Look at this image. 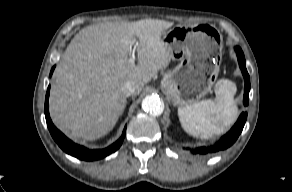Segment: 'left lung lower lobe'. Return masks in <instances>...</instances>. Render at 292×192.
Listing matches in <instances>:
<instances>
[{
  "label": "left lung lower lobe",
  "instance_id": "1",
  "mask_svg": "<svg viewBox=\"0 0 292 192\" xmlns=\"http://www.w3.org/2000/svg\"><path fill=\"white\" fill-rule=\"evenodd\" d=\"M235 50H236V54L238 57L239 66L242 70V74H243L244 79H245L244 105L246 106L249 103L250 78H249V74L246 70L245 57H244V54H243L241 48L235 47ZM246 118H247V113L243 112L240 115V117L238 118L236 124L232 127V129L226 135H224L215 146H212L210 148L200 147L196 150H193L192 153H194V154H208V153H213V152H217L220 150H224V149L230 147L237 140L238 136L242 132V129H243L244 124L246 122Z\"/></svg>",
  "mask_w": 292,
  "mask_h": 192
}]
</instances>
